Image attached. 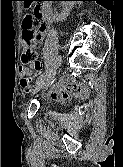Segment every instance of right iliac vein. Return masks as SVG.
I'll list each match as a JSON object with an SVG mask.
<instances>
[{"mask_svg": "<svg viewBox=\"0 0 123 167\" xmlns=\"http://www.w3.org/2000/svg\"><path fill=\"white\" fill-rule=\"evenodd\" d=\"M58 67L54 68L49 74L48 76H46L41 82H39L35 89L34 92H37L41 89H44L46 86H48L49 84H51L54 80V77L56 75V70Z\"/></svg>", "mask_w": 123, "mask_h": 167, "instance_id": "1", "label": "right iliac vein"}]
</instances>
